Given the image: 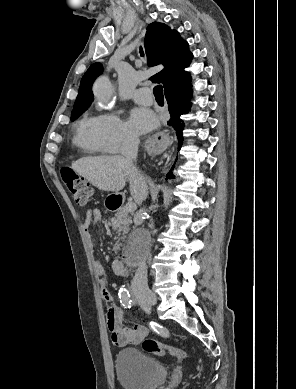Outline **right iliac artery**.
Listing matches in <instances>:
<instances>
[{
  "label": "right iliac artery",
  "mask_w": 296,
  "mask_h": 389,
  "mask_svg": "<svg viewBox=\"0 0 296 389\" xmlns=\"http://www.w3.org/2000/svg\"><path fill=\"white\" fill-rule=\"evenodd\" d=\"M119 298H120V302L122 303V305L125 307V308H130L133 304L132 302V299H131V296L128 292V290L126 289H121L119 291Z\"/></svg>",
  "instance_id": "obj_1"
}]
</instances>
